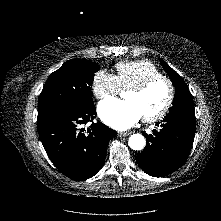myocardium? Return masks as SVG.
Instances as JSON below:
<instances>
[{
	"label": "myocardium",
	"instance_id": "f54148a6",
	"mask_svg": "<svg viewBox=\"0 0 221 221\" xmlns=\"http://www.w3.org/2000/svg\"><path fill=\"white\" fill-rule=\"evenodd\" d=\"M158 82H165L167 84L168 97L163 107L157 113L149 116H142V120L147 123H153L159 121L169 112L175 98V87L172 81L168 77L160 75V76L151 77L145 80L144 82L128 89V91L141 94L146 92L148 89H150L153 85H155Z\"/></svg>",
	"mask_w": 221,
	"mask_h": 221
}]
</instances>
